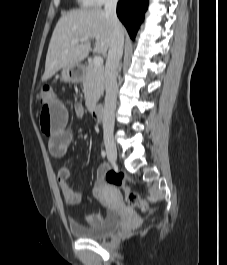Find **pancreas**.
<instances>
[{"instance_id": "cf45deb5", "label": "pancreas", "mask_w": 227, "mask_h": 265, "mask_svg": "<svg viewBox=\"0 0 227 265\" xmlns=\"http://www.w3.org/2000/svg\"><path fill=\"white\" fill-rule=\"evenodd\" d=\"M83 87L86 103L94 106L104 92V69L90 63L85 70Z\"/></svg>"}]
</instances>
